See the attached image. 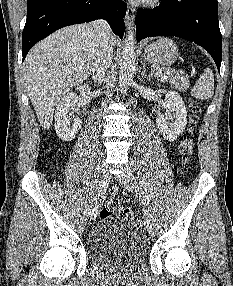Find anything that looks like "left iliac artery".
I'll list each match as a JSON object with an SVG mask.
<instances>
[{"instance_id":"left-iliac-artery-1","label":"left iliac artery","mask_w":233,"mask_h":286,"mask_svg":"<svg viewBox=\"0 0 233 286\" xmlns=\"http://www.w3.org/2000/svg\"><path fill=\"white\" fill-rule=\"evenodd\" d=\"M137 189H138L139 196H141L140 188L138 186H137Z\"/></svg>"}]
</instances>
